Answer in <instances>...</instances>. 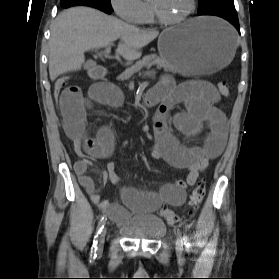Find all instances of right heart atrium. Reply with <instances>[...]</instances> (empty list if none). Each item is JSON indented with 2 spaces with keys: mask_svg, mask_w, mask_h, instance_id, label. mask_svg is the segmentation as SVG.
I'll use <instances>...</instances> for the list:
<instances>
[{
  "mask_svg": "<svg viewBox=\"0 0 279 279\" xmlns=\"http://www.w3.org/2000/svg\"><path fill=\"white\" fill-rule=\"evenodd\" d=\"M110 4L121 19L130 23H140L146 11L143 0H110Z\"/></svg>",
  "mask_w": 279,
  "mask_h": 279,
  "instance_id": "1",
  "label": "right heart atrium"
}]
</instances>
